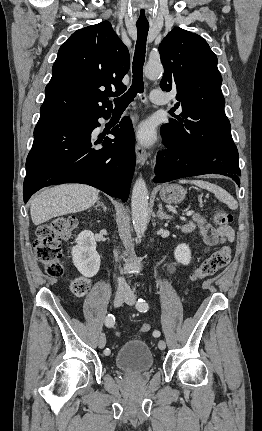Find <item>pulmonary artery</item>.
Segmentation results:
<instances>
[{
    "label": "pulmonary artery",
    "mask_w": 262,
    "mask_h": 431,
    "mask_svg": "<svg viewBox=\"0 0 262 431\" xmlns=\"http://www.w3.org/2000/svg\"><path fill=\"white\" fill-rule=\"evenodd\" d=\"M150 98L155 105H163L166 102L164 93L157 89L151 92Z\"/></svg>",
    "instance_id": "e3ab8cb5"
}]
</instances>
